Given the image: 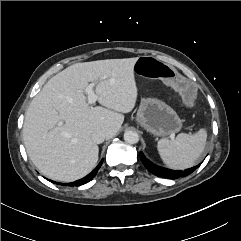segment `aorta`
I'll list each match as a JSON object with an SVG mask.
<instances>
[{"mask_svg":"<svg viewBox=\"0 0 241 241\" xmlns=\"http://www.w3.org/2000/svg\"><path fill=\"white\" fill-rule=\"evenodd\" d=\"M124 140L129 144H136L139 141V135L135 131L128 130L124 133Z\"/></svg>","mask_w":241,"mask_h":241,"instance_id":"762f6f07","label":"aorta"}]
</instances>
